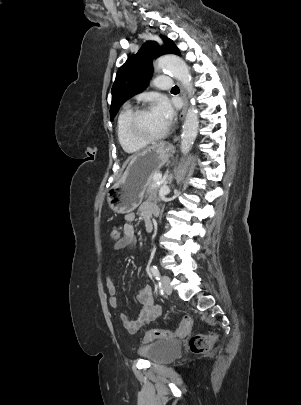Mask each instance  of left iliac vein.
Wrapping results in <instances>:
<instances>
[{"instance_id": "1", "label": "left iliac vein", "mask_w": 301, "mask_h": 405, "mask_svg": "<svg viewBox=\"0 0 301 405\" xmlns=\"http://www.w3.org/2000/svg\"><path fill=\"white\" fill-rule=\"evenodd\" d=\"M161 282H162L164 292L166 294H168V295L171 294L172 293V286H171V283H170V278L168 276H166V275H163L161 277Z\"/></svg>"}]
</instances>
